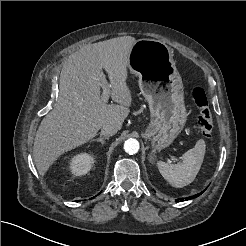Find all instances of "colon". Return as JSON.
I'll use <instances>...</instances> for the list:
<instances>
[{
	"label": "colon",
	"instance_id": "1",
	"mask_svg": "<svg viewBox=\"0 0 246 246\" xmlns=\"http://www.w3.org/2000/svg\"><path fill=\"white\" fill-rule=\"evenodd\" d=\"M190 97L198 109L197 125L202 136L209 138L212 136L214 123L208 106V99L205 91L201 87H193Z\"/></svg>",
	"mask_w": 246,
	"mask_h": 246
}]
</instances>
